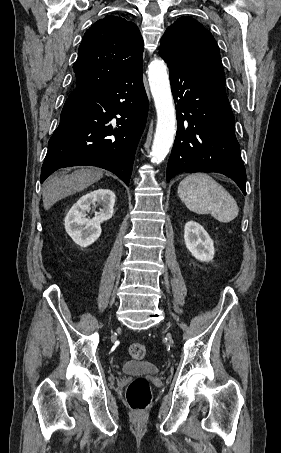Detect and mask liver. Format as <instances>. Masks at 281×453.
Returning a JSON list of instances; mask_svg holds the SVG:
<instances>
[{"mask_svg": "<svg viewBox=\"0 0 281 453\" xmlns=\"http://www.w3.org/2000/svg\"><path fill=\"white\" fill-rule=\"evenodd\" d=\"M103 176V170L101 168H93V166H87V168H77L71 174H62V176H49L46 182H44L43 194V206L45 210H49L57 200L69 196V194H75L84 190L90 184H94L97 180H100Z\"/></svg>", "mask_w": 281, "mask_h": 453, "instance_id": "1", "label": "liver"}]
</instances>
